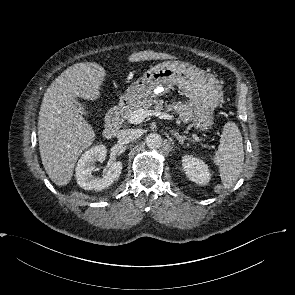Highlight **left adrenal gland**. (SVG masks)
<instances>
[{"instance_id":"left-adrenal-gland-1","label":"left adrenal gland","mask_w":295,"mask_h":295,"mask_svg":"<svg viewBox=\"0 0 295 295\" xmlns=\"http://www.w3.org/2000/svg\"><path fill=\"white\" fill-rule=\"evenodd\" d=\"M170 132L172 133V135L176 137L180 144H184V140H191L190 138H187L185 135H180L177 131L171 130Z\"/></svg>"}]
</instances>
